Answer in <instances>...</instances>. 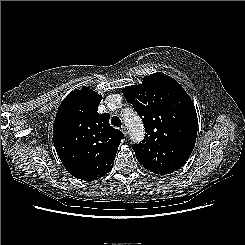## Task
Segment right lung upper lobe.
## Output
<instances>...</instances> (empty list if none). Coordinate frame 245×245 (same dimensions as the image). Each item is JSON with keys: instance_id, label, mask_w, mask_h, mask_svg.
I'll list each match as a JSON object with an SVG mask.
<instances>
[{"instance_id": "right-lung-upper-lobe-1", "label": "right lung upper lobe", "mask_w": 245, "mask_h": 245, "mask_svg": "<svg viewBox=\"0 0 245 245\" xmlns=\"http://www.w3.org/2000/svg\"><path fill=\"white\" fill-rule=\"evenodd\" d=\"M101 95L89 87L72 91L61 103L53 125L57 154L67 171L93 181L111 171L124 135L97 112Z\"/></svg>"}]
</instances>
